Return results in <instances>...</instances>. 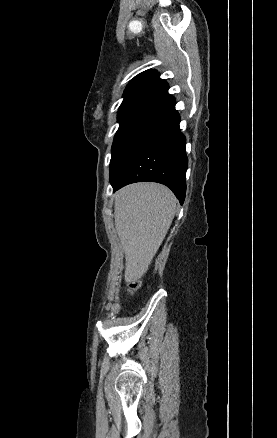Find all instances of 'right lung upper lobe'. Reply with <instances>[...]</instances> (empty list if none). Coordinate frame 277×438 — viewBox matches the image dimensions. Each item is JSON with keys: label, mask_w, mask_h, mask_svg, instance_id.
I'll use <instances>...</instances> for the list:
<instances>
[{"label": "right lung upper lobe", "mask_w": 277, "mask_h": 438, "mask_svg": "<svg viewBox=\"0 0 277 438\" xmlns=\"http://www.w3.org/2000/svg\"><path fill=\"white\" fill-rule=\"evenodd\" d=\"M168 84L155 70H147L134 77L124 91L119 116H137L150 112L167 111L175 106L168 94Z\"/></svg>", "instance_id": "right-lung-upper-lobe-1"}]
</instances>
